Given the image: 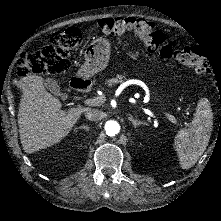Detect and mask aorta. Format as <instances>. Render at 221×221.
Listing matches in <instances>:
<instances>
[{
    "label": "aorta",
    "mask_w": 221,
    "mask_h": 221,
    "mask_svg": "<svg viewBox=\"0 0 221 221\" xmlns=\"http://www.w3.org/2000/svg\"><path fill=\"white\" fill-rule=\"evenodd\" d=\"M105 131L108 136H115L120 131V125L117 121L109 120L105 123Z\"/></svg>",
    "instance_id": "1"
}]
</instances>
